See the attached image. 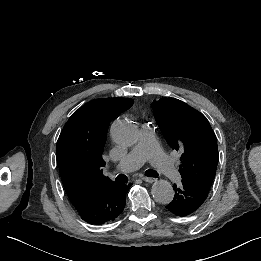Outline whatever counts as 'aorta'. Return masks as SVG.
Returning a JSON list of instances; mask_svg holds the SVG:
<instances>
[{"mask_svg": "<svg viewBox=\"0 0 261 261\" xmlns=\"http://www.w3.org/2000/svg\"><path fill=\"white\" fill-rule=\"evenodd\" d=\"M138 135L137 126L130 120H117L111 126L112 139L119 145L131 146L135 144ZM151 194L156 202L169 204L174 198V189L169 181L161 179L152 185Z\"/></svg>", "mask_w": 261, "mask_h": 261, "instance_id": "obj_1", "label": "aorta"}]
</instances>
